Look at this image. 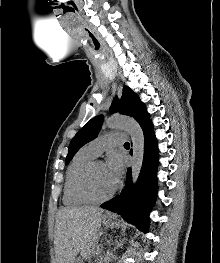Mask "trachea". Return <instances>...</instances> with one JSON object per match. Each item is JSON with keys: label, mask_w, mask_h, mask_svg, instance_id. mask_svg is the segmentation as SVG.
<instances>
[{"label": "trachea", "mask_w": 220, "mask_h": 263, "mask_svg": "<svg viewBox=\"0 0 220 263\" xmlns=\"http://www.w3.org/2000/svg\"><path fill=\"white\" fill-rule=\"evenodd\" d=\"M124 146H130V145H129V143H128V142H126V143L124 144Z\"/></svg>", "instance_id": "1"}]
</instances>
